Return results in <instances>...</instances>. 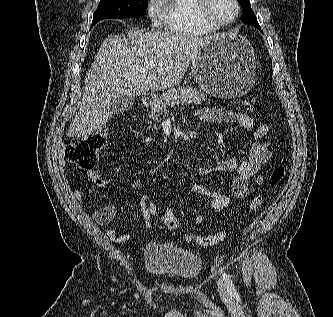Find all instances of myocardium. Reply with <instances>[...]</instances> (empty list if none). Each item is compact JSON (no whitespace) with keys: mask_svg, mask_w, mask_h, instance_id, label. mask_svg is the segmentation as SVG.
Segmentation results:
<instances>
[{"mask_svg":"<svg viewBox=\"0 0 333 317\" xmlns=\"http://www.w3.org/2000/svg\"><path fill=\"white\" fill-rule=\"evenodd\" d=\"M235 6V12L232 17L226 21H216L213 19L208 12L209 0H195V13L198 20L205 26L218 30L226 28L233 24L239 17L241 6L238 0H232Z\"/></svg>","mask_w":333,"mask_h":317,"instance_id":"1","label":"myocardium"}]
</instances>
